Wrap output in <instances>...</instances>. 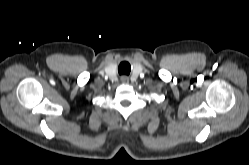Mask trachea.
<instances>
[{
	"label": "trachea",
	"instance_id": "obj_1",
	"mask_svg": "<svg viewBox=\"0 0 249 165\" xmlns=\"http://www.w3.org/2000/svg\"><path fill=\"white\" fill-rule=\"evenodd\" d=\"M118 70L120 74H128V71L130 70L129 65L127 63H121Z\"/></svg>",
	"mask_w": 249,
	"mask_h": 165
}]
</instances>
